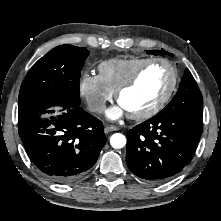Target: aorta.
<instances>
[{
	"instance_id": "aorta-1",
	"label": "aorta",
	"mask_w": 221,
	"mask_h": 221,
	"mask_svg": "<svg viewBox=\"0 0 221 221\" xmlns=\"http://www.w3.org/2000/svg\"><path fill=\"white\" fill-rule=\"evenodd\" d=\"M110 144L115 149L123 148L126 145V137L121 133H115L110 138Z\"/></svg>"
}]
</instances>
